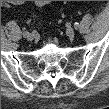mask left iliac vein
<instances>
[{
    "instance_id": "left-iliac-vein-1",
    "label": "left iliac vein",
    "mask_w": 109,
    "mask_h": 109,
    "mask_svg": "<svg viewBox=\"0 0 109 109\" xmlns=\"http://www.w3.org/2000/svg\"><path fill=\"white\" fill-rule=\"evenodd\" d=\"M66 34L69 38H74L75 31L72 27H68L67 30H66Z\"/></svg>"
}]
</instances>
